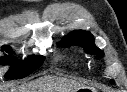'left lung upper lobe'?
Masks as SVG:
<instances>
[{"instance_id": "1", "label": "left lung upper lobe", "mask_w": 127, "mask_h": 92, "mask_svg": "<svg viewBox=\"0 0 127 92\" xmlns=\"http://www.w3.org/2000/svg\"><path fill=\"white\" fill-rule=\"evenodd\" d=\"M80 45L85 51L94 55H103V52L94 44V37L87 31H73L66 35L60 46Z\"/></svg>"}]
</instances>
